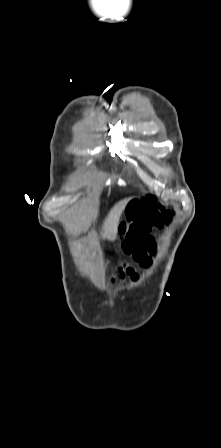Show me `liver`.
<instances>
[{
	"instance_id": "1",
	"label": "liver",
	"mask_w": 221,
	"mask_h": 448,
	"mask_svg": "<svg viewBox=\"0 0 221 448\" xmlns=\"http://www.w3.org/2000/svg\"><path fill=\"white\" fill-rule=\"evenodd\" d=\"M129 199H125L118 203L107 217L103 224L101 236L103 239L113 241L118 233V222L122 211L125 209Z\"/></svg>"
}]
</instances>
